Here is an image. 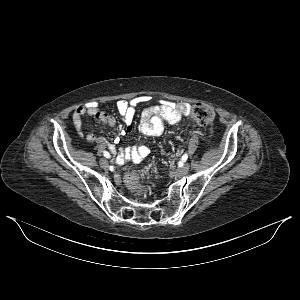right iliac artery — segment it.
<instances>
[{
  "mask_svg": "<svg viewBox=\"0 0 300 300\" xmlns=\"http://www.w3.org/2000/svg\"><path fill=\"white\" fill-rule=\"evenodd\" d=\"M104 156H105L106 158H110V154H109V152H107V151H104Z\"/></svg>",
  "mask_w": 300,
  "mask_h": 300,
  "instance_id": "82829eb1",
  "label": "right iliac artery"
}]
</instances>
